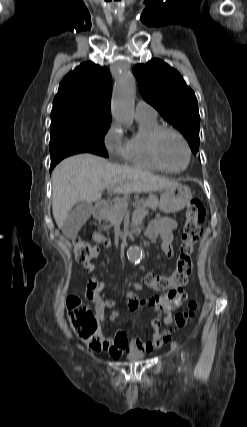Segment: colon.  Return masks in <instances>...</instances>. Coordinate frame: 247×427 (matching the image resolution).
<instances>
[{"mask_svg":"<svg viewBox=\"0 0 247 427\" xmlns=\"http://www.w3.org/2000/svg\"><path fill=\"white\" fill-rule=\"evenodd\" d=\"M205 216L206 210L202 201L192 200L185 213L176 268L171 275L147 274L145 284L149 288L156 292H166L183 288L186 285L188 277L193 271L192 255L201 235V223ZM73 253L77 262L86 264L99 255V248L88 241L75 239L73 241ZM196 307V303L190 301L185 311L174 316V327L186 326L194 317ZM67 309L70 324L78 336L92 349H104L106 338L98 316L77 296L68 297Z\"/></svg>","mask_w":247,"mask_h":427,"instance_id":"obj_1","label":"colon"}]
</instances>
